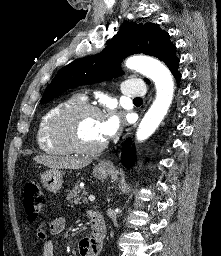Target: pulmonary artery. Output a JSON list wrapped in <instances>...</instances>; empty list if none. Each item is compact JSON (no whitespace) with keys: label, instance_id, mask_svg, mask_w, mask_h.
<instances>
[{"label":"pulmonary artery","instance_id":"1","mask_svg":"<svg viewBox=\"0 0 221 256\" xmlns=\"http://www.w3.org/2000/svg\"><path fill=\"white\" fill-rule=\"evenodd\" d=\"M122 93L128 97H140L146 93V87L141 80L129 79L123 83Z\"/></svg>","mask_w":221,"mask_h":256}]
</instances>
